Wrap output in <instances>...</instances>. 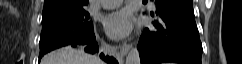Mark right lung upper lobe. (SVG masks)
<instances>
[{
    "label": "right lung upper lobe",
    "instance_id": "right-lung-upper-lobe-1",
    "mask_svg": "<svg viewBox=\"0 0 242 64\" xmlns=\"http://www.w3.org/2000/svg\"><path fill=\"white\" fill-rule=\"evenodd\" d=\"M87 4L88 0H45L43 13L85 8Z\"/></svg>",
    "mask_w": 242,
    "mask_h": 64
}]
</instances>
